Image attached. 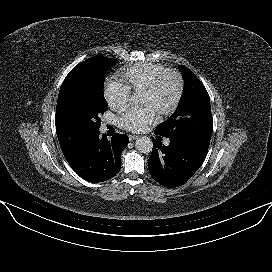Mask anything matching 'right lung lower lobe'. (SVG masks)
<instances>
[{
    "instance_id": "right-lung-lower-lobe-1",
    "label": "right lung lower lobe",
    "mask_w": 272,
    "mask_h": 272,
    "mask_svg": "<svg viewBox=\"0 0 272 272\" xmlns=\"http://www.w3.org/2000/svg\"><path fill=\"white\" fill-rule=\"evenodd\" d=\"M125 134H115L111 140L99 136V131L68 163L84 180L103 182L115 176L121 168V151L128 144Z\"/></svg>"
}]
</instances>
